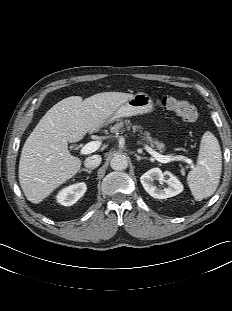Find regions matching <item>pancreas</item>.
<instances>
[{"label": "pancreas", "mask_w": 232, "mask_h": 311, "mask_svg": "<svg viewBox=\"0 0 232 311\" xmlns=\"http://www.w3.org/2000/svg\"><path fill=\"white\" fill-rule=\"evenodd\" d=\"M126 126V128H125ZM126 130H130L132 129L133 132H136L138 130H140V133L143 136L144 140H146L147 142L150 143L151 147H155L157 148L158 150H160L161 152L164 150L165 146L163 143H161L160 141H158L157 139H153L151 136H150V133L148 131L142 133V127L141 126H138V125H132V123L130 122V120H118L116 122L115 125H113L111 128H110V132L111 133H119V132H124Z\"/></svg>", "instance_id": "1"}]
</instances>
